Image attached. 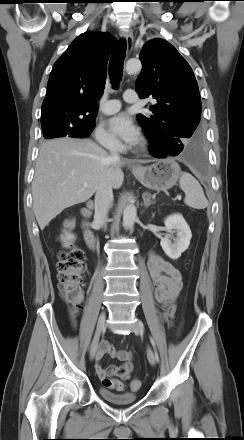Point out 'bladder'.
Wrapping results in <instances>:
<instances>
[{"mask_svg":"<svg viewBox=\"0 0 244 440\" xmlns=\"http://www.w3.org/2000/svg\"><path fill=\"white\" fill-rule=\"evenodd\" d=\"M99 396L112 404H131L138 400L136 392H113L105 386L98 389Z\"/></svg>","mask_w":244,"mask_h":440,"instance_id":"bladder-1","label":"bladder"}]
</instances>
